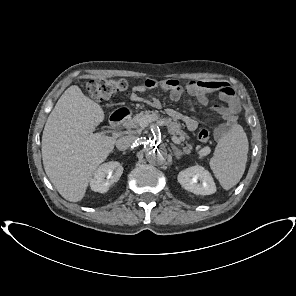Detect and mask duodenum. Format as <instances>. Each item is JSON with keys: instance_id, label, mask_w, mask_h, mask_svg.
I'll return each mask as SVG.
<instances>
[{"instance_id": "duodenum-1", "label": "duodenum", "mask_w": 296, "mask_h": 296, "mask_svg": "<svg viewBox=\"0 0 296 296\" xmlns=\"http://www.w3.org/2000/svg\"><path fill=\"white\" fill-rule=\"evenodd\" d=\"M129 115H130V112L127 109H122L114 112L110 116V121H109L110 125L112 127L119 126Z\"/></svg>"}]
</instances>
